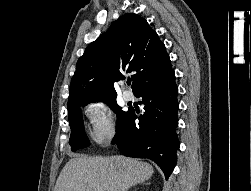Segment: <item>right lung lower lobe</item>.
Listing matches in <instances>:
<instances>
[{"label": "right lung lower lobe", "instance_id": "98d812e1", "mask_svg": "<svg viewBox=\"0 0 251 191\" xmlns=\"http://www.w3.org/2000/svg\"><path fill=\"white\" fill-rule=\"evenodd\" d=\"M178 87L175 73L162 81L142 87L134 95L142 97L144 114L135 124L134 110L116 130L112 144L129 157L149 158L164 172L166 179L176 165V150L180 146L178 126Z\"/></svg>", "mask_w": 251, "mask_h": 191}]
</instances>
